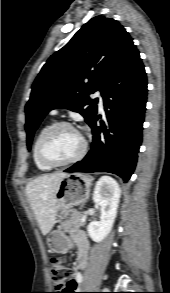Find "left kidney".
<instances>
[{
  "instance_id": "1",
  "label": "left kidney",
  "mask_w": 170,
  "mask_h": 293,
  "mask_svg": "<svg viewBox=\"0 0 170 293\" xmlns=\"http://www.w3.org/2000/svg\"><path fill=\"white\" fill-rule=\"evenodd\" d=\"M120 196L119 184L110 176H103L96 183L93 201L100 206L101 220L92 221L87 226L88 234L94 242H101L110 233L117 215Z\"/></svg>"
}]
</instances>
